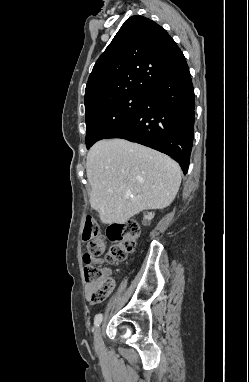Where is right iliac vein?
<instances>
[{"label": "right iliac vein", "mask_w": 249, "mask_h": 382, "mask_svg": "<svg viewBox=\"0 0 249 382\" xmlns=\"http://www.w3.org/2000/svg\"><path fill=\"white\" fill-rule=\"evenodd\" d=\"M94 345L97 350H101L103 348V340L100 328H97L94 332Z\"/></svg>", "instance_id": "63e3f726"}]
</instances>
